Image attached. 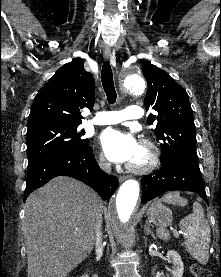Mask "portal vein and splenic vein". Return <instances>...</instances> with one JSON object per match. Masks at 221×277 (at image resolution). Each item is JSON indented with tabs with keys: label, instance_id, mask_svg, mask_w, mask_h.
Wrapping results in <instances>:
<instances>
[{
	"label": "portal vein and splenic vein",
	"instance_id": "obj_1",
	"mask_svg": "<svg viewBox=\"0 0 221 277\" xmlns=\"http://www.w3.org/2000/svg\"><path fill=\"white\" fill-rule=\"evenodd\" d=\"M178 233H179V234H182V232H181V231H179Z\"/></svg>",
	"mask_w": 221,
	"mask_h": 277
}]
</instances>
